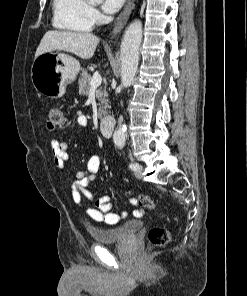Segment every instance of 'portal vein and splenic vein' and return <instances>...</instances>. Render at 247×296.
<instances>
[{
  "mask_svg": "<svg viewBox=\"0 0 247 296\" xmlns=\"http://www.w3.org/2000/svg\"><path fill=\"white\" fill-rule=\"evenodd\" d=\"M102 83V77L99 73L95 72L90 81V89H96Z\"/></svg>",
  "mask_w": 247,
  "mask_h": 296,
  "instance_id": "1",
  "label": "portal vein and splenic vein"
}]
</instances>
